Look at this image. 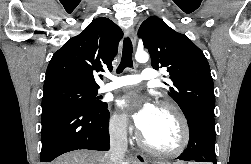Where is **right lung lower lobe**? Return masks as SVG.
<instances>
[{
	"mask_svg": "<svg viewBox=\"0 0 251 164\" xmlns=\"http://www.w3.org/2000/svg\"><path fill=\"white\" fill-rule=\"evenodd\" d=\"M109 112L99 109L51 106L42 109L41 162H51L63 153L89 149L109 150Z\"/></svg>",
	"mask_w": 251,
	"mask_h": 164,
	"instance_id": "98d812e1",
	"label": "right lung lower lobe"
}]
</instances>
